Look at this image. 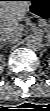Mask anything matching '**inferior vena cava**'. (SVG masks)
I'll return each mask as SVG.
<instances>
[{
    "instance_id": "602c4592",
    "label": "inferior vena cava",
    "mask_w": 50,
    "mask_h": 111,
    "mask_svg": "<svg viewBox=\"0 0 50 111\" xmlns=\"http://www.w3.org/2000/svg\"><path fill=\"white\" fill-rule=\"evenodd\" d=\"M21 38V32L20 31H14V32H6L2 34V40L5 43H15L19 41Z\"/></svg>"
}]
</instances>
